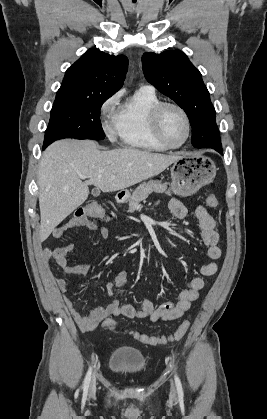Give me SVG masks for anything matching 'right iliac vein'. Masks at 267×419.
Listing matches in <instances>:
<instances>
[{
	"label": "right iliac vein",
	"mask_w": 267,
	"mask_h": 419,
	"mask_svg": "<svg viewBox=\"0 0 267 419\" xmlns=\"http://www.w3.org/2000/svg\"><path fill=\"white\" fill-rule=\"evenodd\" d=\"M96 388V381L95 379L92 380L91 386H90V393L92 394L95 391Z\"/></svg>",
	"instance_id": "63e3f726"
}]
</instances>
